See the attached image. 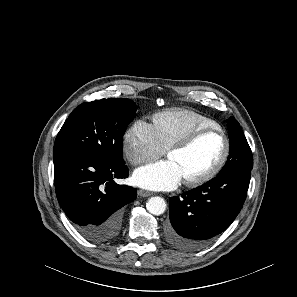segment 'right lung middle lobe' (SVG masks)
I'll return each mask as SVG.
<instances>
[{
  "label": "right lung middle lobe",
  "instance_id": "right-lung-middle-lobe-1",
  "mask_svg": "<svg viewBox=\"0 0 297 297\" xmlns=\"http://www.w3.org/2000/svg\"><path fill=\"white\" fill-rule=\"evenodd\" d=\"M137 107L130 99H104L86 102L73 110L59 131L53 155L84 153L111 163H124L123 135L136 117Z\"/></svg>",
  "mask_w": 297,
  "mask_h": 297
}]
</instances>
